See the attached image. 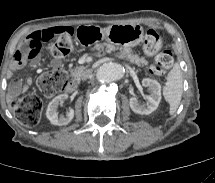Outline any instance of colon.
<instances>
[{"label":"colon","mask_w":215,"mask_h":183,"mask_svg":"<svg viewBox=\"0 0 215 183\" xmlns=\"http://www.w3.org/2000/svg\"><path fill=\"white\" fill-rule=\"evenodd\" d=\"M53 38L55 42L52 46V54L56 57H66L73 50V31H62ZM52 38V39H53ZM48 41L49 37L47 38ZM42 42L36 39L29 43H24L20 50V55L33 58L40 52ZM162 39L153 29L146 31L143 40V49L148 56L154 57V62L150 66L153 73L162 74L173 65V55L169 50L162 49ZM66 84V75L63 71H51L43 73L37 82L39 90L46 96H52L61 91ZM42 100L29 94L24 97L13 100L12 109L16 119L24 126H35L41 117Z\"/></svg>","instance_id":"1"}]
</instances>
